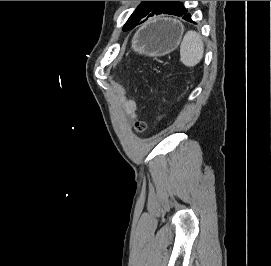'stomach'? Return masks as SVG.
I'll use <instances>...</instances> for the list:
<instances>
[{"mask_svg": "<svg viewBox=\"0 0 271 266\" xmlns=\"http://www.w3.org/2000/svg\"><path fill=\"white\" fill-rule=\"evenodd\" d=\"M182 33L183 27L177 21L157 19L136 32L132 48L146 56H163L177 48Z\"/></svg>", "mask_w": 271, "mask_h": 266, "instance_id": "0dacf381", "label": "stomach"}]
</instances>
